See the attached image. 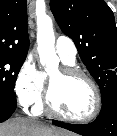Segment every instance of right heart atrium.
Wrapping results in <instances>:
<instances>
[{
  "instance_id": "d8ad5b80",
  "label": "right heart atrium",
  "mask_w": 117,
  "mask_h": 136,
  "mask_svg": "<svg viewBox=\"0 0 117 136\" xmlns=\"http://www.w3.org/2000/svg\"><path fill=\"white\" fill-rule=\"evenodd\" d=\"M44 86V73L32 60H26L20 67L14 84L18 103L24 108L37 106L42 98Z\"/></svg>"
}]
</instances>
